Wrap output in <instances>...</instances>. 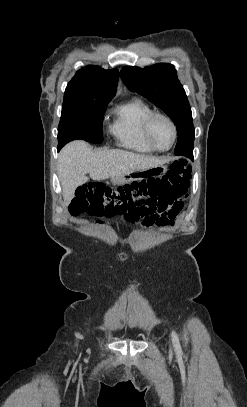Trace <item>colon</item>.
<instances>
[{"label": "colon", "instance_id": "5ec220e1", "mask_svg": "<svg viewBox=\"0 0 247 407\" xmlns=\"http://www.w3.org/2000/svg\"><path fill=\"white\" fill-rule=\"evenodd\" d=\"M191 166L175 161L162 177L119 187L93 183L77 189L69 212L96 216H123L139 208L146 199L176 202L186 196L191 178Z\"/></svg>", "mask_w": 247, "mask_h": 407}]
</instances>
